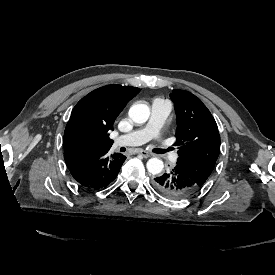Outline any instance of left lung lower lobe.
I'll use <instances>...</instances> for the list:
<instances>
[{
	"instance_id": "0a47b994",
	"label": "left lung lower lobe",
	"mask_w": 275,
	"mask_h": 275,
	"mask_svg": "<svg viewBox=\"0 0 275 275\" xmlns=\"http://www.w3.org/2000/svg\"><path fill=\"white\" fill-rule=\"evenodd\" d=\"M153 186L162 195L173 199L188 198L201 189L177 165L170 172L154 178Z\"/></svg>"
}]
</instances>
